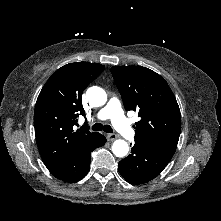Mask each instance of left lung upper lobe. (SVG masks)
Here are the masks:
<instances>
[{
    "mask_svg": "<svg viewBox=\"0 0 221 221\" xmlns=\"http://www.w3.org/2000/svg\"><path fill=\"white\" fill-rule=\"evenodd\" d=\"M112 76L127 111L138 112L135 141L174 155L181 130V114L166 81L141 66H114Z\"/></svg>",
    "mask_w": 221,
    "mask_h": 221,
    "instance_id": "left-lung-upper-lobe-1",
    "label": "left lung upper lobe"
}]
</instances>
